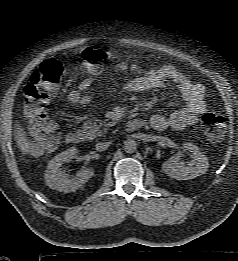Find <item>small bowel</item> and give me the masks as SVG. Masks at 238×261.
I'll use <instances>...</instances> for the list:
<instances>
[{"label": "small bowel", "instance_id": "obj_1", "mask_svg": "<svg viewBox=\"0 0 238 261\" xmlns=\"http://www.w3.org/2000/svg\"><path fill=\"white\" fill-rule=\"evenodd\" d=\"M112 68L116 72L129 71L133 74L134 78L126 85L129 92L153 91L163 87L165 82L169 80L178 86L186 106L172 111L169 115L153 114L150 118V125L157 131H163L169 127L183 129L193 125L207 109L204 87L192 82L185 74L171 65L145 70L136 63L128 64L124 61H118L113 64ZM93 80V77L83 79L77 89L69 94V101L72 104L87 106L91 102V97L83 95V93L91 87Z\"/></svg>", "mask_w": 238, "mask_h": 261}]
</instances>
